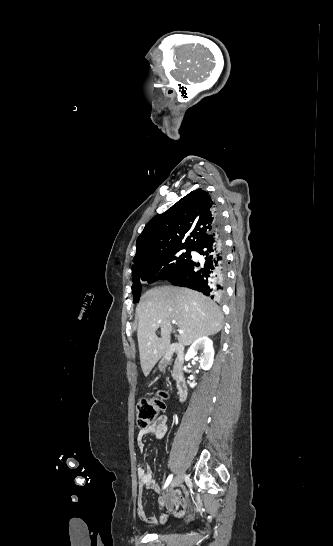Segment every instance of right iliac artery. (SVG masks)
Listing matches in <instances>:
<instances>
[{
	"instance_id": "obj_1",
	"label": "right iliac artery",
	"mask_w": 333,
	"mask_h": 546,
	"mask_svg": "<svg viewBox=\"0 0 333 546\" xmlns=\"http://www.w3.org/2000/svg\"><path fill=\"white\" fill-rule=\"evenodd\" d=\"M172 478H173V475H172V474L168 476V478H167V480H166V482H165V484H164L163 489H165V488L170 484Z\"/></svg>"
}]
</instances>
